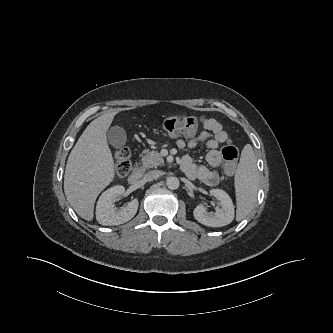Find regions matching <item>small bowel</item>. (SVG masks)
Instances as JSON below:
<instances>
[{"label":"small bowel","mask_w":333,"mask_h":333,"mask_svg":"<svg viewBox=\"0 0 333 333\" xmlns=\"http://www.w3.org/2000/svg\"><path fill=\"white\" fill-rule=\"evenodd\" d=\"M201 142H205L209 148L206 160L212 169L204 165H197L188 155L182 157L181 168L189 178L198 179L207 186L213 187L220 181V176L215 170L222 162L219 145L229 143L230 138L221 123L210 118L205 121L204 130L200 134L189 135L187 140L178 139L176 144L180 149H193Z\"/></svg>","instance_id":"small-bowel-1"}]
</instances>
